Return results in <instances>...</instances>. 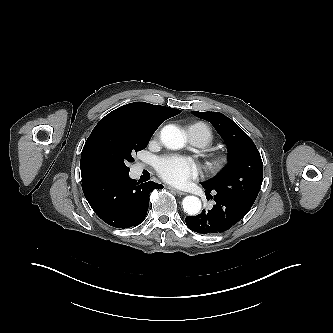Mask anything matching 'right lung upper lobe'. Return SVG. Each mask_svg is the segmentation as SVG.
Segmentation results:
<instances>
[{
    "instance_id": "obj_1",
    "label": "right lung upper lobe",
    "mask_w": 333,
    "mask_h": 333,
    "mask_svg": "<svg viewBox=\"0 0 333 333\" xmlns=\"http://www.w3.org/2000/svg\"><path fill=\"white\" fill-rule=\"evenodd\" d=\"M178 109L153 105L145 102H134L115 109L107 114L97 125L106 122H118L141 133H154L166 119L179 114ZM96 125V126H97ZM85 146V145H84ZM82 183L99 176L86 159L85 147L81 154Z\"/></svg>"
}]
</instances>
